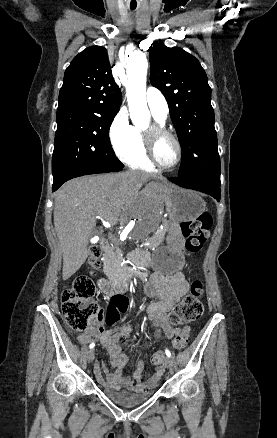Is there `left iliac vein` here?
<instances>
[{"mask_svg": "<svg viewBox=\"0 0 277 438\" xmlns=\"http://www.w3.org/2000/svg\"><path fill=\"white\" fill-rule=\"evenodd\" d=\"M163 364L166 368H170L172 366V360L169 357H165Z\"/></svg>", "mask_w": 277, "mask_h": 438, "instance_id": "4c4485c4", "label": "left iliac vein"}]
</instances>
